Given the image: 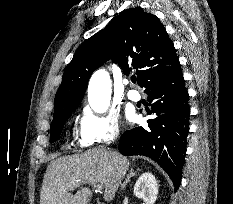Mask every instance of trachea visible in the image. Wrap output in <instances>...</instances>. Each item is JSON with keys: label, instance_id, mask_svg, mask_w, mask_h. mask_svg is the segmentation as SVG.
I'll list each match as a JSON object with an SVG mask.
<instances>
[{"label": "trachea", "instance_id": "3493384b", "mask_svg": "<svg viewBox=\"0 0 233 204\" xmlns=\"http://www.w3.org/2000/svg\"><path fill=\"white\" fill-rule=\"evenodd\" d=\"M131 81H132L133 83H136V78H132Z\"/></svg>", "mask_w": 233, "mask_h": 204}]
</instances>
